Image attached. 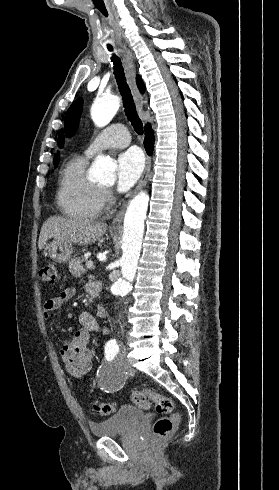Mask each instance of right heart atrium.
<instances>
[{
  "label": "right heart atrium",
  "mask_w": 279,
  "mask_h": 490,
  "mask_svg": "<svg viewBox=\"0 0 279 490\" xmlns=\"http://www.w3.org/2000/svg\"><path fill=\"white\" fill-rule=\"evenodd\" d=\"M111 198L109 189H103L101 193V208L105 207Z\"/></svg>",
  "instance_id": "obj_1"
}]
</instances>
